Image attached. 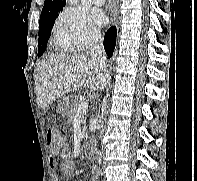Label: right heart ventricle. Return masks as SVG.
Wrapping results in <instances>:
<instances>
[{"label": "right heart ventricle", "instance_id": "e07e8e85", "mask_svg": "<svg viewBox=\"0 0 197 181\" xmlns=\"http://www.w3.org/2000/svg\"><path fill=\"white\" fill-rule=\"evenodd\" d=\"M54 48L57 51H66L69 49V45L66 42V40L63 37H61L58 33H55Z\"/></svg>", "mask_w": 197, "mask_h": 181}]
</instances>
